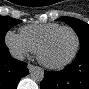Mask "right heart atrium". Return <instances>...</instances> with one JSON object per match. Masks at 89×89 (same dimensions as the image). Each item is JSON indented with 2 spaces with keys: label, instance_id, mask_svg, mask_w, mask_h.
Wrapping results in <instances>:
<instances>
[{
  "label": "right heart atrium",
  "instance_id": "d8ad5b80",
  "mask_svg": "<svg viewBox=\"0 0 89 89\" xmlns=\"http://www.w3.org/2000/svg\"><path fill=\"white\" fill-rule=\"evenodd\" d=\"M5 44L9 51L16 57H23L30 52H34L33 48L26 42L20 34L9 30L5 35Z\"/></svg>",
  "mask_w": 89,
  "mask_h": 89
}]
</instances>
